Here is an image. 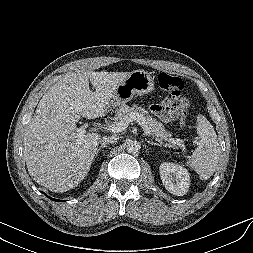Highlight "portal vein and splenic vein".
<instances>
[{
  "label": "portal vein and splenic vein",
  "mask_w": 253,
  "mask_h": 253,
  "mask_svg": "<svg viewBox=\"0 0 253 253\" xmlns=\"http://www.w3.org/2000/svg\"><path fill=\"white\" fill-rule=\"evenodd\" d=\"M133 121H136L143 128L144 133L146 135H148V136L151 135L150 130H149L145 120L143 119V117L140 114H135V113L130 115L129 118L121 119L118 122H114V123L108 125L106 127V129L113 132V133H119V132L124 131L128 127V125ZM77 131L79 134H83L85 130H84V128L81 127V128H78ZM170 142L173 145H177V146H180L181 148L185 149L184 141L181 139L172 138V139H170Z\"/></svg>",
  "instance_id": "obj_1"
}]
</instances>
